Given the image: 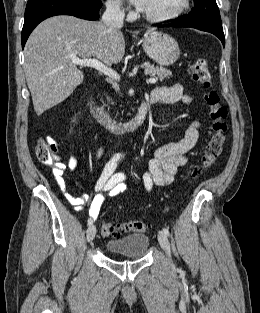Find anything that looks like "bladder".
<instances>
[{
	"mask_svg": "<svg viewBox=\"0 0 260 313\" xmlns=\"http://www.w3.org/2000/svg\"><path fill=\"white\" fill-rule=\"evenodd\" d=\"M149 244V237L146 234L139 233L109 240L106 248L110 253L137 260L146 255Z\"/></svg>",
	"mask_w": 260,
	"mask_h": 313,
	"instance_id": "31cf9c89",
	"label": "bladder"
}]
</instances>
